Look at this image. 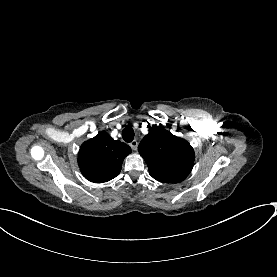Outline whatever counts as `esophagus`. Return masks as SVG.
I'll use <instances>...</instances> for the list:
<instances>
[{
    "label": "esophagus",
    "mask_w": 277,
    "mask_h": 277,
    "mask_svg": "<svg viewBox=\"0 0 277 277\" xmlns=\"http://www.w3.org/2000/svg\"><path fill=\"white\" fill-rule=\"evenodd\" d=\"M129 145L133 150H137L138 142L137 140H133L132 142L129 143Z\"/></svg>",
    "instance_id": "obj_1"
}]
</instances>
